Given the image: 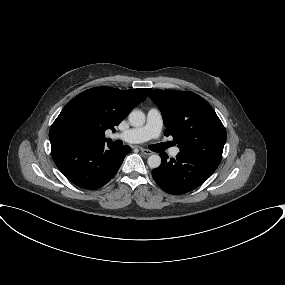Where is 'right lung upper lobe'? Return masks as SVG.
I'll list each match as a JSON object with an SVG mask.
<instances>
[{"mask_svg": "<svg viewBox=\"0 0 285 285\" xmlns=\"http://www.w3.org/2000/svg\"><path fill=\"white\" fill-rule=\"evenodd\" d=\"M150 91L145 88L124 91L95 87L80 93L68 102L52 124L50 142L74 139L90 144H105V131H115L114 127L144 101Z\"/></svg>", "mask_w": 285, "mask_h": 285, "instance_id": "1", "label": "right lung upper lobe"}]
</instances>
